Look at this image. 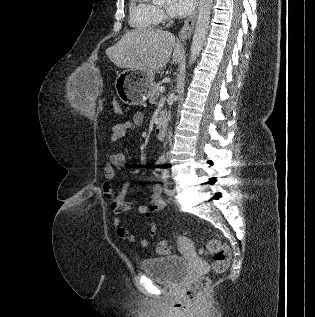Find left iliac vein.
I'll return each mask as SVG.
<instances>
[{
    "label": "left iliac vein",
    "instance_id": "left-iliac-vein-1",
    "mask_svg": "<svg viewBox=\"0 0 315 317\" xmlns=\"http://www.w3.org/2000/svg\"><path fill=\"white\" fill-rule=\"evenodd\" d=\"M167 194L171 195V196L174 195L175 194V189H168Z\"/></svg>",
    "mask_w": 315,
    "mask_h": 317
}]
</instances>
